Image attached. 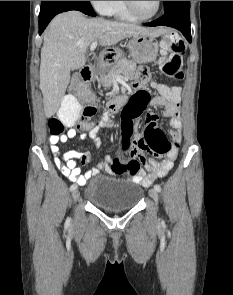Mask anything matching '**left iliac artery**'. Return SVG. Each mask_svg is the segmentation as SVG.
I'll list each match as a JSON object with an SVG mask.
<instances>
[{
    "mask_svg": "<svg viewBox=\"0 0 233 295\" xmlns=\"http://www.w3.org/2000/svg\"><path fill=\"white\" fill-rule=\"evenodd\" d=\"M154 189H155L157 192H161V187H160V185H158V184H155V185H154Z\"/></svg>",
    "mask_w": 233,
    "mask_h": 295,
    "instance_id": "1",
    "label": "left iliac artery"
}]
</instances>
